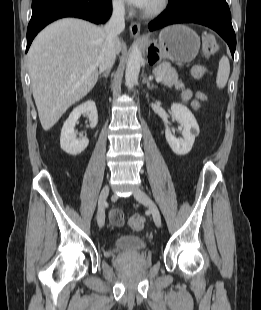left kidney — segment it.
I'll return each mask as SVG.
<instances>
[{
    "label": "left kidney",
    "mask_w": 261,
    "mask_h": 310,
    "mask_svg": "<svg viewBox=\"0 0 261 310\" xmlns=\"http://www.w3.org/2000/svg\"><path fill=\"white\" fill-rule=\"evenodd\" d=\"M171 113L173 121L176 120L180 124L179 129L183 138H176L170 129L166 128V140L175 154L186 155L192 149L195 137L199 133V126L191 111L182 104L173 103Z\"/></svg>",
    "instance_id": "left-kidney-1"
}]
</instances>
